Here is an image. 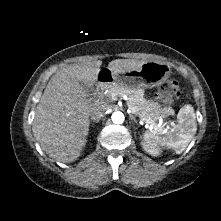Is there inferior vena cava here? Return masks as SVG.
<instances>
[{
	"label": "inferior vena cava",
	"mask_w": 221,
	"mask_h": 221,
	"mask_svg": "<svg viewBox=\"0 0 221 221\" xmlns=\"http://www.w3.org/2000/svg\"><path fill=\"white\" fill-rule=\"evenodd\" d=\"M108 109V106L103 103H97L94 104L90 111V116L92 120H100L103 116L106 110Z\"/></svg>",
	"instance_id": "inferior-vena-cava-1"
}]
</instances>
